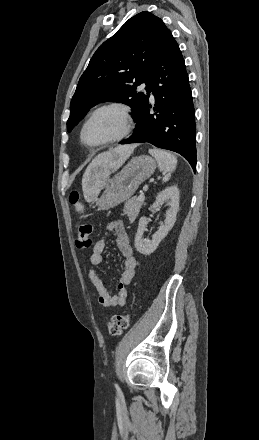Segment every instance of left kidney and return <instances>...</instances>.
<instances>
[{"label": "left kidney", "instance_id": "left-kidney-1", "mask_svg": "<svg viewBox=\"0 0 259 440\" xmlns=\"http://www.w3.org/2000/svg\"><path fill=\"white\" fill-rule=\"evenodd\" d=\"M164 202H167L169 209L166 212L164 224L161 225L159 230L153 235L152 240L143 238L147 218L141 217L139 220L137 233L135 235V247L137 251L143 255L153 253L175 224L176 215L179 210V189L177 186H170L161 191L156 196L155 202L150 206L149 210L162 205Z\"/></svg>", "mask_w": 259, "mask_h": 440}]
</instances>
